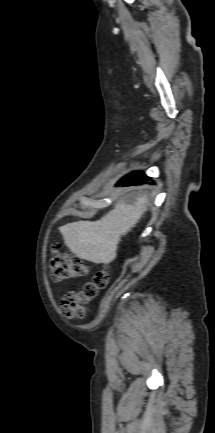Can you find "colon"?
<instances>
[{"instance_id":"5ec220e1","label":"colon","mask_w":215,"mask_h":433,"mask_svg":"<svg viewBox=\"0 0 215 433\" xmlns=\"http://www.w3.org/2000/svg\"><path fill=\"white\" fill-rule=\"evenodd\" d=\"M49 268L52 277L59 280L81 278L90 272L89 266L80 258L62 252L59 243L51 245ZM108 281V272L100 270L91 281L84 285L81 291L66 293L61 302L62 314L69 318H83L85 315L83 304L95 298L98 292L106 287Z\"/></svg>"}]
</instances>
